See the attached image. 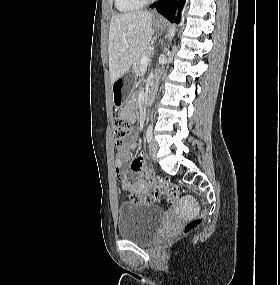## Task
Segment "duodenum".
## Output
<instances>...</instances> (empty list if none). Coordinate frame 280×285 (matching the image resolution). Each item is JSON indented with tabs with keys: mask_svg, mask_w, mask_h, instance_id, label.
<instances>
[{
	"mask_svg": "<svg viewBox=\"0 0 280 285\" xmlns=\"http://www.w3.org/2000/svg\"><path fill=\"white\" fill-rule=\"evenodd\" d=\"M152 93L156 94V84L152 82Z\"/></svg>",
	"mask_w": 280,
	"mask_h": 285,
	"instance_id": "410a0bca",
	"label": "duodenum"
}]
</instances>
